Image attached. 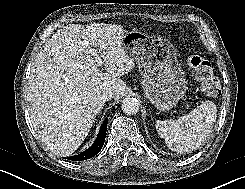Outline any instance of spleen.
Wrapping results in <instances>:
<instances>
[{"label": "spleen", "mask_w": 245, "mask_h": 189, "mask_svg": "<svg viewBox=\"0 0 245 189\" xmlns=\"http://www.w3.org/2000/svg\"><path fill=\"white\" fill-rule=\"evenodd\" d=\"M216 114V105L207 100L177 120L156 121V129L172 151L191 152L209 137Z\"/></svg>", "instance_id": "spleen-1"}]
</instances>
